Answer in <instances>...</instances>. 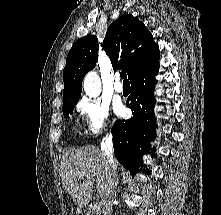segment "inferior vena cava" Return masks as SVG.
Here are the masks:
<instances>
[{
	"label": "inferior vena cava",
	"instance_id": "obj_1",
	"mask_svg": "<svg viewBox=\"0 0 221 215\" xmlns=\"http://www.w3.org/2000/svg\"><path fill=\"white\" fill-rule=\"evenodd\" d=\"M101 151L105 157L106 163L109 165V178L106 191L102 198L103 215H111L112 201L115 195V186L117 185L116 164L113 154L112 136L106 135L101 142Z\"/></svg>",
	"mask_w": 221,
	"mask_h": 215
}]
</instances>
